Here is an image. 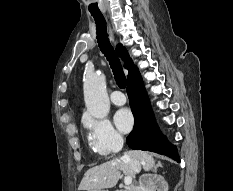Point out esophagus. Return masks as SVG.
<instances>
[{"label":"esophagus","instance_id":"1","mask_svg":"<svg viewBox=\"0 0 233 191\" xmlns=\"http://www.w3.org/2000/svg\"><path fill=\"white\" fill-rule=\"evenodd\" d=\"M111 40L115 44L114 37L111 35Z\"/></svg>","mask_w":233,"mask_h":191}]
</instances>
